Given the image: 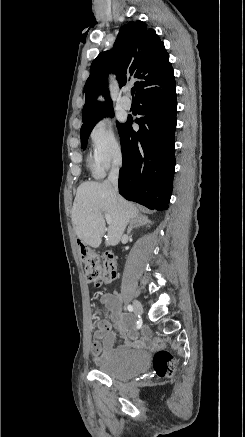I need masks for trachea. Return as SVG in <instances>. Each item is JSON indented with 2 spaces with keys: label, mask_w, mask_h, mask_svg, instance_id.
Returning a JSON list of instances; mask_svg holds the SVG:
<instances>
[{
  "label": "trachea",
  "mask_w": 245,
  "mask_h": 437,
  "mask_svg": "<svg viewBox=\"0 0 245 437\" xmlns=\"http://www.w3.org/2000/svg\"><path fill=\"white\" fill-rule=\"evenodd\" d=\"M134 93H135V88H132L131 89V95L134 96Z\"/></svg>",
  "instance_id": "obj_1"
}]
</instances>
